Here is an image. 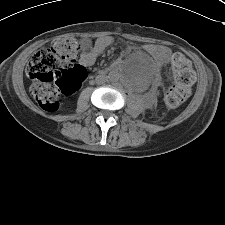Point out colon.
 <instances>
[{
	"label": "colon",
	"mask_w": 225,
	"mask_h": 225,
	"mask_svg": "<svg viewBox=\"0 0 225 225\" xmlns=\"http://www.w3.org/2000/svg\"><path fill=\"white\" fill-rule=\"evenodd\" d=\"M86 41L64 36L51 48L33 55L27 66V75L33 80L32 95L40 106L50 112L59 107L62 96L77 91L87 72L73 63V58ZM59 72V74H58ZM173 85L165 96L168 107L177 108L192 95L194 74L187 59L175 55L172 59Z\"/></svg>",
	"instance_id": "1"
}]
</instances>
